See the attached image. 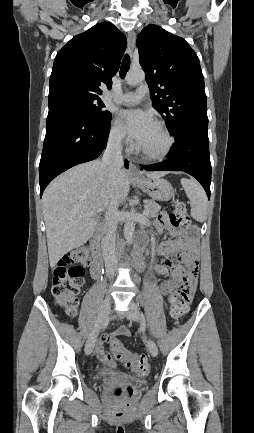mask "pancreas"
Masks as SVG:
<instances>
[{
    "label": "pancreas",
    "mask_w": 254,
    "mask_h": 433,
    "mask_svg": "<svg viewBox=\"0 0 254 433\" xmlns=\"http://www.w3.org/2000/svg\"><path fill=\"white\" fill-rule=\"evenodd\" d=\"M144 204H145V207L148 208L147 217H149V218L156 217L158 212L161 209V206L153 200H145Z\"/></svg>",
    "instance_id": "obj_1"
}]
</instances>
